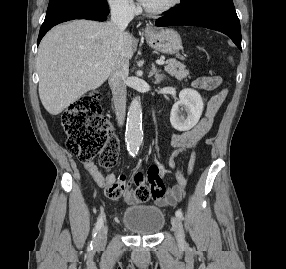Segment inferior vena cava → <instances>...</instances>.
I'll return each instance as SVG.
<instances>
[{"label":"inferior vena cava","mask_w":286,"mask_h":269,"mask_svg":"<svg viewBox=\"0 0 286 269\" xmlns=\"http://www.w3.org/2000/svg\"><path fill=\"white\" fill-rule=\"evenodd\" d=\"M134 18V10L128 2H120L111 6V22L116 32L119 34V49L124 52L123 32L129 22ZM129 73V61L121 57L110 77L109 84L112 90L113 102L115 106L116 119L118 125L122 126L125 120L126 111V84L125 80Z\"/></svg>","instance_id":"inferior-vena-cava-1"}]
</instances>
